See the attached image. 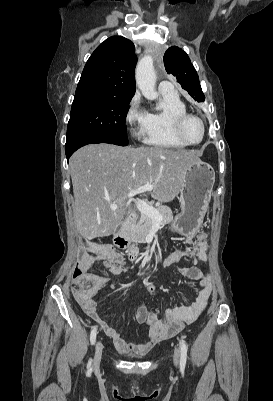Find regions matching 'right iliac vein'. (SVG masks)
Returning a JSON list of instances; mask_svg holds the SVG:
<instances>
[{"mask_svg":"<svg viewBox=\"0 0 273 401\" xmlns=\"http://www.w3.org/2000/svg\"><path fill=\"white\" fill-rule=\"evenodd\" d=\"M102 352H103V344L101 341H98L96 343L95 356H94V360H93L94 368H96L100 364Z\"/></svg>","mask_w":273,"mask_h":401,"instance_id":"1","label":"right iliac vein"}]
</instances>
